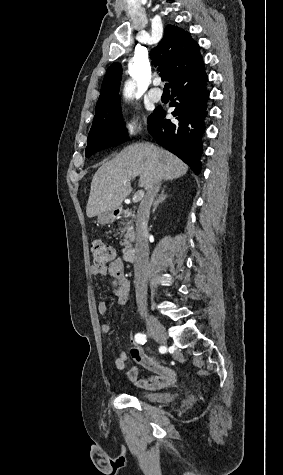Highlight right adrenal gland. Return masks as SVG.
<instances>
[{
	"instance_id": "right-adrenal-gland-1",
	"label": "right adrenal gland",
	"mask_w": 283,
	"mask_h": 475,
	"mask_svg": "<svg viewBox=\"0 0 283 475\" xmlns=\"http://www.w3.org/2000/svg\"><path fill=\"white\" fill-rule=\"evenodd\" d=\"M165 188H166V186H163V190H162L158 200H156V202H154L153 210H156V208H158L159 204H162V202H164V200H166L167 196L165 194Z\"/></svg>"
}]
</instances>
